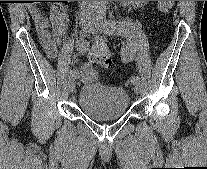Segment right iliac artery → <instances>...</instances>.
I'll return each instance as SVG.
<instances>
[{
    "label": "right iliac artery",
    "mask_w": 207,
    "mask_h": 169,
    "mask_svg": "<svg viewBox=\"0 0 207 169\" xmlns=\"http://www.w3.org/2000/svg\"><path fill=\"white\" fill-rule=\"evenodd\" d=\"M89 31H85V33L80 37V39L78 40V48L80 50L81 53H85L87 50H88V42L86 40V35ZM72 78H77V73L73 70V71H70L69 73V79H72Z\"/></svg>",
    "instance_id": "right-iliac-artery-1"
}]
</instances>
